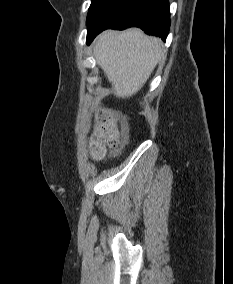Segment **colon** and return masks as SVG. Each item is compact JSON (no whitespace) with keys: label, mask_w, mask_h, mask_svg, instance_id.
Wrapping results in <instances>:
<instances>
[{"label":"colon","mask_w":233,"mask_h":284,"mask_svg":"<svg viewBox=\"0 0 233 284\" xmlns=\"http://www.w3.org/2000/svg\"><path fill=\"white\" fill-rule=\"evenodd\" d=\"M118 143L116 125L106 111H100L97 115L94 135L90 143L91 156L94 159L101 160L110 150L117 148Z\"/></svg>","instance_id":"1"}]
</instances>
